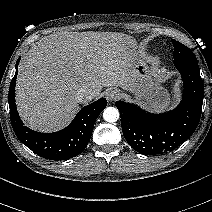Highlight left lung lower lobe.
<instances>
[{"instance_id": "0a47b994", "label": "left lung lower lobe", "mask_w": 212, "mask_h": 212, "mask_svg": "<svg viewBox=\"0 0 212 212\" xmlns=\"http://www.w3.org/2000/svg\"><path fill=\"white\" fill-rule=\"evenodd\" d=\"M184 85L182 101L176 109L151 114L140 107L117 101L122 131L128 144L144 155L171 151L195 131L202 111L203 83L197 60H175Z\"/></svg>"}]
</instances>
